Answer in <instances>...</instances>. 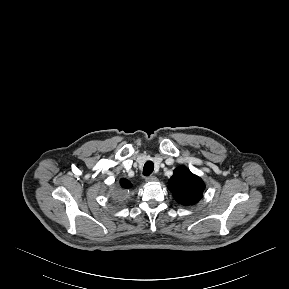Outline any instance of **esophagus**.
<instances>
[{
  "instance_id": "obj_1",
  "label": "esophagus",
  "mask_w": 289,
  "mask_h": 289,
  "mask_svg": "<svg viewBox=\"0 0 289 289\" xmlns=\"http://www.w3.org/2000/svg\"><path fill=\"white\" fill-rule=\"evenodd\" d=\"M146 181H147V182H155V181H157V177H156V176H153V175L148 176V177L146 178Z\"/></svg>"
}]
</instances>
